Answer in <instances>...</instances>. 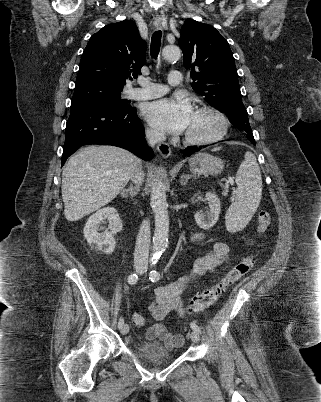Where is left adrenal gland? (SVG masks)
<instances>
[{"label":"left adrenal gland","instance_id":"obj_1","mask_svg":"<svg viewBox=\"0 0 321 402\" xmlns=\"http://www.w3.org/2000/svg\"><path fill=\"white\" fill-rule=\"evenodd\" d=\"M192 177H194V175H191V174H183V175L180 177V183H181V185H185V184L188 182V179H190V178H192Z\"/></svg>","mask_w":321,"mask_h":402}]
</instances>
